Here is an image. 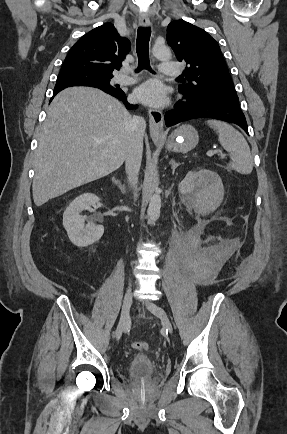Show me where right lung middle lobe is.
<instances>
[{
	"instance_id": "1",
	"label": "right lung middle lobe",
	"mask_w": 287,
	"mask_h": 434,
	"mask_svg": "<svg viewBox=\"0 0 287 434\" xmlns=\"http://www.w3.org/2000/svg\"><path fill=\"white\" fill-rule=\"evenodd\" d=\"M112 75H102L90 71L82 70H61L57 78V83L76 81L100 89L114 90L115 87L110 85Z\"/></svg>"
}]
</instances>
